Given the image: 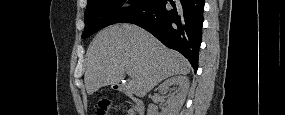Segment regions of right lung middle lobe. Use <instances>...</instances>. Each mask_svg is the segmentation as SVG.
Returning a JSON list of instances; mask_svg holds the SVG:
<instances>
[{
  "label": "right lung middle lobe",
  "instance_id": "1",
  "mask_svg": "<svg viewBox=\"0 0 285 115\" xmlns=\"http://www.w3.org/2000/svg\"><path fill=\"white\" fill-rule=\"evenodd\" d=\"M154 2L155 0H131V7L121 8L122 0H88L84 13L85 30L82 38H87L111 24L123 22Z\"/></svg>",
  "mask_w": 285,
  "mask_h": 115
}]
</instances>
